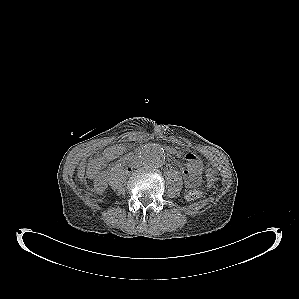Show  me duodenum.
<instances>
[{
    "mask_svg": "<svg viewBox=\"0 0 299 299\" xmlns=\"http://www.w3.org/2000/svg\"><path fill=\"white\" fill-rule=\"evenodd\" d=\"M137 158V153L134 152L132 154H130L129 158H128V162H132Z\"/></svg>",
    "mask_w": 299,
    "mask_h": 299,
    "instance_id": "duodenum-1",
    "label": "duodenum"
}]
</instances>
